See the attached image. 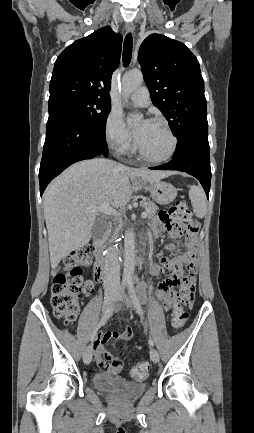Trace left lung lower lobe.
Instances as JSON below:
<instances>
[{
	"label": "left lung lower lobe",
	"instance_id": "obj_1",
	"mask_svg": "<svg viewBox=\"0 0 254 433\" xmlns=\"http://www.w3.org/2000/svg\"><path fill=\"white\" fill-rule=\"evenodd\" d=\"M150 169L186 172L199 180L208 197L211 182L208 136L197 135L188 138L178 145L170 162Z\"/></svg>",
	"mask_w": 254,
	"mask_h": 433
}]
</instances>
